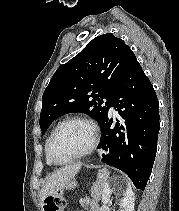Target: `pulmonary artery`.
Here are the masks:
<instances>
[{
    "label": "pulmonary artery",
    "mask_w": 179,
    "mask_h": 211,
    "mask_svg": "<svg viewBox=\"0 0 179 211\" xmlns=\"http://www.w3.org/2000/svg\"><path fill=\"white\" fill-rule=\"evenodd\" d=\"M110 110H111V111H114V108H113V107H111V108H110Z\"/></svg>",
    "instance_id": "obj_1"
}]
</instances>
